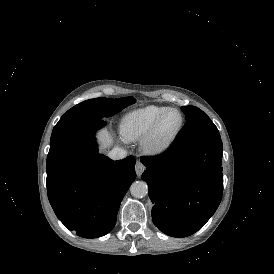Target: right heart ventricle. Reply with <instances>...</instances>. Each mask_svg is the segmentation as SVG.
Listing matches in <instances>:
<instances>
[{
  "instance_id": "1",
  "label": "right heart ventricle",
  "mask_w": 274,
  "mask_h": 274,
  "mask_svg": "<svg viewBox=\"0 0 274 274\" xmlns=\"http://www.w3.org/2000/svg\"><path fill=\"white\" fill-rule=\"evenodd\" d=\"M166 109L162 106L147 105L128 112L119 125L121 136L128 141L141 139Z\"/></svg>"
}]
</instances>
